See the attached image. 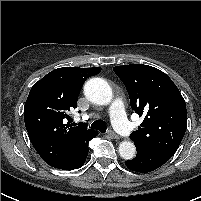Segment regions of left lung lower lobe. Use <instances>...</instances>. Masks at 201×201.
Here are the masks:
<instances>
[{
	"label": "left lung lower lobe",
	"instance_id": "obj_1",
	"mask_svg": "<svg viewBox=\"0 0 201 201\" xmlns=\"http://www.w3.org/2000/svg\"><path fill=\"white\" fill-rule=\"evenodd\" d=\"M174 153L173 151H137L136 157L125 161V165L131 170L147 173L162 166Z\"/></svg>",
	"mask_w": 201,
	"mask_h": 201
}]
</instances>
